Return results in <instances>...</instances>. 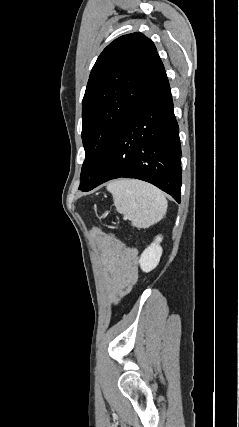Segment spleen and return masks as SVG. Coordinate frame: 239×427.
I'll list each match as a JSON object with an SVG mask.
<instances>
[{
    "label": "spleen",
    "mask_w": 239,
    "mask_h": 427,
    "mask_svg": "<svg viewBox=\"0 0 239 427\" xmlns=\"http://www.w3.org/2000/svg\"><path fill=\"white\" fill-rule=\"evenodd\" d=\"M107 190L112 194L116 211L127 216L137 228H147L159 222L167 210V200L155 186L135 179L110 182Z\"/></svg>",
    "instance_id": "obj_1"
}]
</instances>
